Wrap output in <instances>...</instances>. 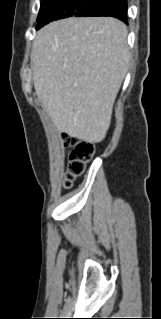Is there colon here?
<instances>
[{"mask_svg": "<svg viewBox=\"0 0 161 319\" xmlns=\"http://www.w3.org/2000/svg\"><path fill=\"white\" fill-rule=\"evenodd\" d=\"M64 140L65 144L71 148L65 175V185L69 187L84 172L86 163L95 153V147L93 143L78 141L68 136Z\"/></svg>", "mask_w": 161, "mask_h": 319, "instance_id": "5ec220e1", "label": "colon"}]
</instances>
